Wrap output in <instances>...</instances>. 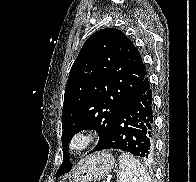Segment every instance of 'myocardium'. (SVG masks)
I'll return each instance as SVG.
<instances>
[{"mask_svg":"<svg viewBox=\"0 0 196 182\" xmlns=\"http://www.w3.org/2000/svg\"><path fill=\"white\" fill-rule=\"evenodd\" d=\"M97 137L96 130L92 128H81L70 137L68 148L74 154H83L94 145Z\"/></svg>","mask_w":196,"mask_h":182,"instance_id":"1","label":"myocardium"}]
</instances>
